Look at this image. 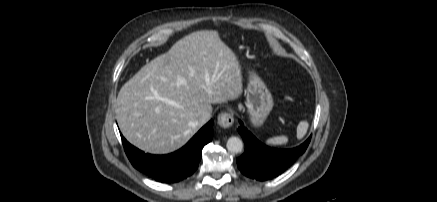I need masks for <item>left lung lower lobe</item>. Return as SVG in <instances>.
<instances>
[{
  "label": "left lung lower lobe",
  "mask_w": 437,
  "mask_h": 202,
  "mask_svg": "<svg viewBox=\"0 0 437 202\" xmlns=\"http://www.w3.org/2000/svg\"><path fill=\"white\" fill-rule=\"evenodd\" d=\"M238 128L246 148L237 159L239 170L247 177L265 181L277 177L288 169L307 149L311 136L300 146L292 149L270 148L257 140L242 124Z\"/></svg>",
  "instance_id": "obj_1"
}]
</instances>
